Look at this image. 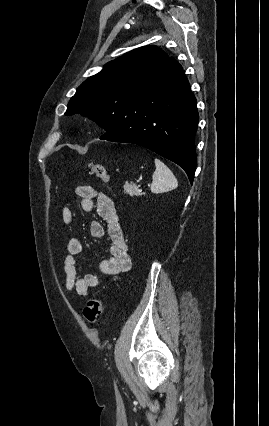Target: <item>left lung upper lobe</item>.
Returning a JSON list of instances; mask_svg holds the SVG:
<instances>
[{
  "mask_svg": "<svg viewBox=\"0 0 269 426\" xmlns=\"http://www.w3.org/2000/svg\"><path fill=\"white\" fill-rule=\"evenodd\" d=\"M169 56L157 46L134 49L89 77L68 103L65 115L81 113L106 129L110 137L134 94L147 88Z\"/></svg>",
  "mask_w": 269,
  "mask_h": 426,
  "instance_id": "obj_1",
  "label": "left lung upper lobe"
}]
</instances>
